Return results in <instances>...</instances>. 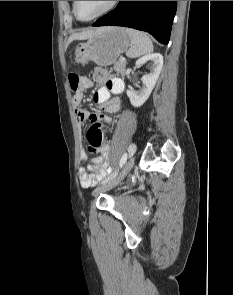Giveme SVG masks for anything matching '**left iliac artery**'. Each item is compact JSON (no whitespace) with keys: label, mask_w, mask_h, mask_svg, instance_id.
I'll list each match as a JSON object with an SVG mask.
<instances>
[{"label":"left iliac artery","mask_w":233,"mask_h":295,"mask_svg":"<svg viewBox=\"0 0 233 295\" xmlns=\"http://www.w3.org/2000/svg\"><path fill=\"white\" fill-rule=\"evenodd\" d=\"M129 146L130 147L128 149V152L133 154L136 151L137 147L135 146V144L133 142ZM117 173H118V170L114 171L111 175H109L106 179H104L102 181V184H105V183L109 182L110 180H112L114 177H116Z\"/></svg>","instance_id":"1"}]
</instances>
